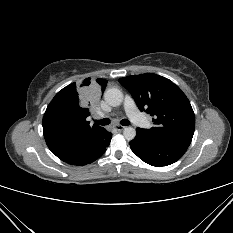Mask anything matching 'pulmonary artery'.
Masks as SVG:
<instances>
[{"instance_id": "1", "label": "pulmonary artery", "mask_w": 233, "mask_h": 233, "mask_svg": "<svg viewBox=\"0 0 233 233\" xmlns=\"http://www.w3.org/2000/svg\"><path fill=\"white\" fill-rule=\"evenodd\" d=\"M124 109H125L128 117L131 119V121L134 124H136L137 126H140L142 128L149 127L150 121L138 111L134 100L130 96L125 97ZM101 116H103V115H101Z\"/></svg>"}]
</instances>
